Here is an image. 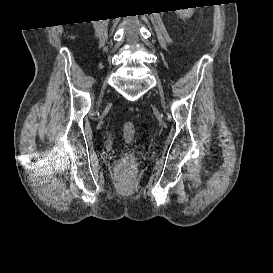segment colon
<instances>
[{
  "mask_svg": "<svg viewBox=\"0 0 273 273\" xmlns=\"http://www.w3.org/2000/svg\"><path fill=\"white\" fill-rule=\"evenodd\" d=\"M123 135H124V139L127 142H131L134 139L135 136V126L132 122H125L123 124ZM133 168V163L129 158H126L122 161L120 167H119V171L120 172H127L130 169Z\"/></svg>",
  "mask_w": 273,
  "mask_h": 273,
  "instance_id": "1",
  "label": "colon"
}]
</instances>
